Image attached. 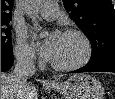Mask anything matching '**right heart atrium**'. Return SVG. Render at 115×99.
<instances>
[{
  "instance_id": "obj_1",
  "label": "right heart atrium",
  "mask_w": 115,
  "mask_h": 99,
  "mask_svg": "<svg viewBox=\"0 0 115 99\" xmlns=\"http://www.w3.org/2000/svg\"><path fill=\"white\" fill-rule=\"evenodd\" d=\"M14 54L17 61L23 65H32L35 62V53L22 35L16 38Z\"/></svg>"
}]
</instances>
